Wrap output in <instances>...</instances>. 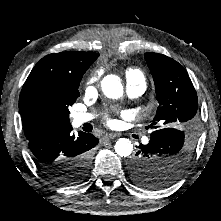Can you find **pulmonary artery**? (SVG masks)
Masks as SVG:
<instances>
[{
  "label": "pulmonary artery",
  "mask_w": 221,
  "mask_h": 221,
  "mask_svg": "<svg viewBox=\"0 0 221 221\" xmlns=\"http://www.w3.org/2000/svg\"><path fill=\"white\" fill-rule=\"evenodd\" d=\"M146 90V85L140 80H132L127 83V94L130 98L140 97ZM93 119V115L90 113H76L73 116V125L79 127L80 125L89 122Z\"/></svg>",
  "instance_id": "e3ab8cb5"
}]
</instances>
